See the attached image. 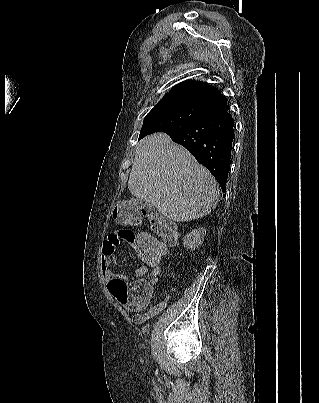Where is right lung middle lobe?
Listing matches in <instances>:
<instances>
[{
    "instance_id": "right-lung-middle-lobe-1",
    "label": "right lung middle lobe",
    "mask_w": 319,
    "mask_h": 403,
    "mask_svg": "<svg viewBox=\"0 0 319 403\" xmlns=\"http://www.w3.org/2000/svg\"><path fill=\"white\" fill-rule=\"evenodd\" d=\"M208 114H212L210 109L190 102L157 104L145 116L139 140L161 129L185 125Z\"/></svg>"
}]
</instances>
